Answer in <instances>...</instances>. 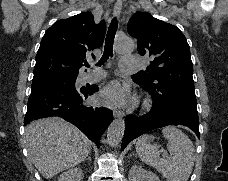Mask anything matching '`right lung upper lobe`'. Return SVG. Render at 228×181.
Masks as SVG:
<instances>
[{
    "label": "right lung upper lobe",
    "mask_w": 228,
    "mask_h": 181,
    "mask_svg": "<svg viewBox=\"0 0 228 181\" xmlns=\"http://www.w3.org/2000/svg\"><path fill=\"white\" fill-rule=\"evenodd\" d=\"M105 31V22L95 24L90 12L57 21L41 41L33 81L77 76L86 55L102 46Z\"/></svg>",
    "instance_id": "1"
}]
</instances>
